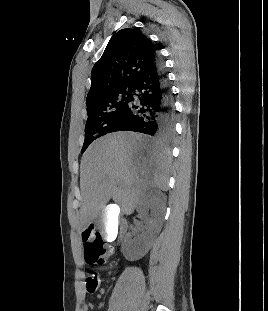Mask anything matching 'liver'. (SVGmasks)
I'll list each match as a JSON object with an SVG mask.
<instances>
[{
	"label": "liver",
	"instance_id": "1",
	"mask_svg": "<svg viewBox=\"0 0 268 311\" xmlns=\"http://www.w3.org/2000/svg\"><path fill=\"white\" fill-rule=\"evenodd\" d=\"M171 159L159 144L148 145L134 132L107 134L94 141L82 156L80 166L79 229H85L110 208L130 215L150 188L168 190ZM118 208V209H117Z\"/></svg>",
	"mask_w": 268,
	"mask_h": 311
}]
</instances>
